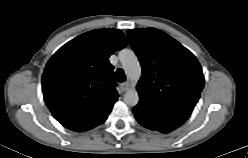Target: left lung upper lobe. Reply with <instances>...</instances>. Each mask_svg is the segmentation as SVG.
I'll return each mask as SVG.
<instances>
[{
    "label": "left lung upper lobe",
    "mask_w": 248,
    "mask_h": 158,
    "mask_svg": "<svg viewBox=\"0 0 248 158\" xmlns=\"http://www.w3.org/2000/svg\"><path fill=\"white\" fill-rule=\"evenodd\" d=\"M142 66L133 113L162 133L181 126L191 115L204 87L196 57L168 34L155 28L127 31Z\"/></svg>",
    "instance_id": "obj_1"
}]
</instances>
